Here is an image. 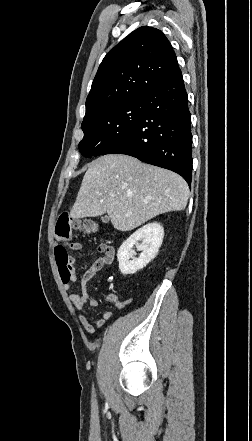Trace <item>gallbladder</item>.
Here are the masks:
<instances>
[{"label":"gallbladder","mask_w":252,"mask_h":441,"mask_svg":"<svg viewBox=\"0 0 252 441\" xmlns=\"http://www.w3.org/2000/svg\"><path fill=\"white\" fill-rule=\"evenodd\" d=\"M108 221H109V217L108 216L102 217V222L107 223Z\"/></svg>","instance_id":"obj_1"}]
</instances>
